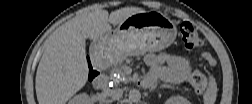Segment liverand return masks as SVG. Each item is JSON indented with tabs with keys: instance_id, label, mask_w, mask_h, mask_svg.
<instances>
[{
	"instance_id": "6515ba94",
	"label": "liver",
	"mask_w": 252,
	"mask_h": 104,
	"mask_svg": "<svg viewBox=\"0 0 252 104\" xmlns=\"http://www.w3.org/2000/svg\"><path fill=\"white\" fill-rule=\"evenodd\" d=\"M138 7H125L108 13L96 8L67 21L49 37L39 62L35 89L40 104H65L82 89L88 79L86 39L97 40L135 13Z\"/></svg>"
}]
</instances>
